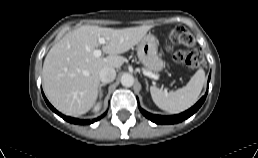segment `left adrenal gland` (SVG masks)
Listing matches in <instances>:
<instances>
[{
  "label": "left adrenal gland",
  "instance_id": "a2214340",
  "mask_svg": "<svg viewBox=\"0 0 258 158\" xmlns=\"http://www.w3.org/2000/svg\"><path fill=\"white\" fill-rule=\"evenodd\" d=\"M145 80V83H146V89L148 90V81L147 79H144Z\"/></svg>",
  "mask_w": 258,
  "mask_h": 158
}]
</instances>
